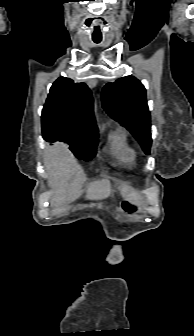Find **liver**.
I'll list each match as a JSON object with an SVG mask.
<instances>
[{"instance_id": "obj_1", "label": "liver", "mask_w": 194, "mask_h": 336, "mask_svg": "<svg viewBox=\"0 0 194 336\" xmlns=\"http://www.w3.org/2000/svg\"><path fill=\"white\" fill-rule=\"evenodd\" d=\"M44 165L49 174V183L56 188L51 206L53 207V212H59L61 207L68 201L71 189L70 182L78 172L79 166L73 155L63 144H55L46 150ZM111 194L110 181L103 179L88 184L86 199L102 200L108 198Z\"/></svg>"}]
</instances>
